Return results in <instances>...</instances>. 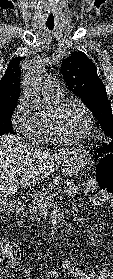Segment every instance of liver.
Here are the masks:
<instances>
[{
	"label": "liver",
	"instance_id": "liver-1",
	"mask_svg": "<svg viewBox=\"0 0 113 279\" xmlns=\"http://www.w3.org/2000/svg\"><path fill=\"white\" fill-rule=\"evenodd\" d=\"M72 150L45 152L23 145L18 137L0 136V206L6 197L12 196L20 186L31 187L45 180L66 161ZM22 171L20 180L16 179Z\"/></svg>",
	"mask_w": 113,
	"mask_h": 279
}]
</instances>
